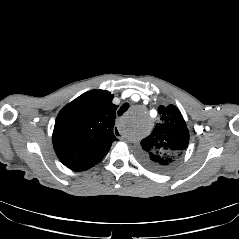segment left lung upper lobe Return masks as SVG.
I'll use <instances>...</instances> for the list:
<instances>
[{
	"label": "left lung upper lobe",
	"mask_w": 239,
	"mask_h": 239,
	"mask_svg": "<svg viewBox=\"0 0 239 239\" xmlns=\"http://www.w3.org/2000/svg\"><path fill=\"white\" fill-rule=\"evenodd\" d=\"M160 122L153 132L141 141L142 162L150 169L164 172L177 164L189 142V131L177 107L159 106Z\"/></svg>",
	"instance_id": "left-lung-upper-lobe-1"
}]
</instances>
